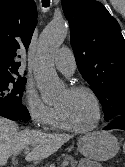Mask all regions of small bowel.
I'll return each mask as SVG.
<instances>
[{
  "label": "small bowel",
  "mask_w": 125,
  "mask_h": 167,
  "mask_svg": "<svg viewBox=\"0 0 125 167\" xmlns=\"http://www.w3.org/2000/svg\"><path fill=\"white\" fill-rule=\"evenodd\" d=\"M78 167H101V166L98 164L91 163L87 160H82L78 165Z\"/></svg>",
  "instance_id": "1"
}]
</instances>
